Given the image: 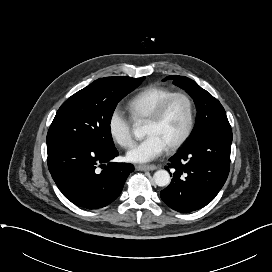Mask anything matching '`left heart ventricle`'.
Masks as SVG:
<instances>
[{"label": "left heart ventricle", "instance_id": "obj_1", "mask_svg": "<svg viewBox=\"0 0 272 272\" xmlns=\"http://www.w3.org/2000/svg\"><path fill=\"white\" fill-rule=\"evenodd\" d=\"M188 120V107L183 98H175L158 122H147L146 135H157L167 147L183 134Z\"/></svg>", "mask_w": 272, "mask_h": 272}]
</instances>
